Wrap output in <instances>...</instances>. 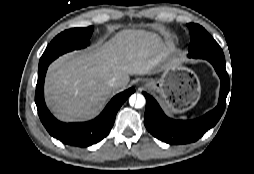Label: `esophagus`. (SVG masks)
<instances>
[{
  "mask_svg": "<svg viewBox=\"0 0 254 174\" xmlns=\"http://www.w3.org/2000/svg\"><path fill=\"white\" fill-rule=\"evenodd\" d=\"M147 86H148V83L143 84L142 87H140V88H144V87H147Z\"/></svg>",
  "mask_w": 254,
  "mask_h": 174,
  "instance_id": "obj_1",
  "label": "esophagus"
}]
</instances>
